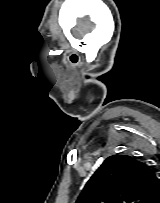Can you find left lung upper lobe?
<instances>
[{"instance_id": "left-lung-upper-lobe-1", "label": "left lung upper lobe", "mask_w": 160, "mask_h": 203, "mask_svg": "<svg viewBox=\"0 0 160 203\" xmlns=\"http://www.w3.org/2000/svg\"><path fill=\"white\" fill-rule=\"evenodd\" d=\"M160 179L128 155L108 157L86 183L76 203H154Z\"/></svg>"}]
</instances>
